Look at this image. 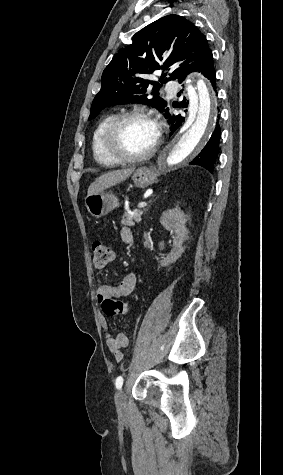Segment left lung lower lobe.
Here are the masks:
<instances>
[{"label":"left lung lower lobe","instance_id":"1","mask_svg":"<svg viewBox=\"0 0 283 475\" xmlns=\"http://www.w3.org/2000/svg\"><path fill=\"white\" fill-rule=\"evenodd\" d=\"M192 71L202 72L203 75L210 80L211 85L213 86L214 90L216 89V83H215L216 75H215V69L213 66L212 55L206 61H204L202 64H200L197 68H195ZM190 72H188L187 74H189ZM187 74L180 77L177 81L181 83ZM216 95L218 94L216 93ZM182 106L184 107V105ZM164 115L166 118L169 119V124L171 125V128H170L171 129L170 135H171L173 134V132H175L179 128V126H181V123L184 121V118L181 117V115H174L168 106L166 107L164 111ZM220 134H221L220 127L218 126V124H216V128L210 140L208 141L206 146L203 148V150L197 155V157L194 158L190 162V164L203 166L210 172H213V164L219 153Z\"/></svg>","mask_w":283,"mask_h":475}]
</instances>
